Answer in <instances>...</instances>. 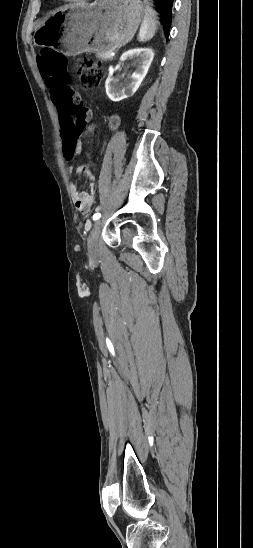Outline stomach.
<instances>
[{"instance_id":"stomach-1","label":"stomach","mask_w":253,"mask_h":548,"mask_svg":"<svg viewBox=\"0 0 253 548\" xmlns=\"http://www.w3.org/2000/svg\"><path fill=\"white\" fill-rule=\"evenodd\" d=\"M144 16L141 0H96L56 11L35 32L37 45L58 47L65 55L106 53L127 44Z\"/></svg>"}]
</instances>
